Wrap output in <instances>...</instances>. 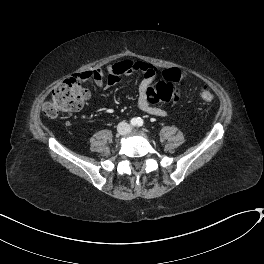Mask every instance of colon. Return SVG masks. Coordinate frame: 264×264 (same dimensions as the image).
Returning a JSON list of instances; mask_svg holds the SVG:
<instances>
[{
	"instance_id": "colon-1",
	"label": "colon",
	"mask_w": 264,
	"mask_h": 264,
	"mask_svg": "<svg viewBox=\"0 0 264 264\" xmlns=\"http://www.w3.org/2000/svg\"><path fill=\"white\" fill-rule=\"evenodd\" d=\"M163 79L155 82L147 89V95L154 102H175L180 99V92L174 87L175 83L183 79V73L179 68L172 67L162 72ZM213 93L204 86L201 91V99L210 103ZM89 98V91L83 86L80 79L68 78L57 84L51 95V99L44 103L43 113L49 118H54L61 113L80 110Z\"/></svg>"
}]
</instances>
